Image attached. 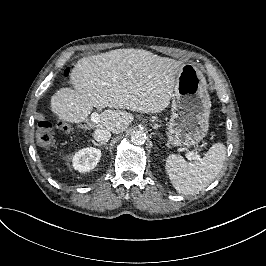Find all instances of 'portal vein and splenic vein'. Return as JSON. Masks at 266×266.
I'll list each match as a JSON object with an SVG mask.
<instances>
[{
	"mask_svg": "<svg viewBox=\"0 0 266 266\" xmlns=\"http://www.w3.org/2000/svg\"><path fill=\"white\" fill-rule=\"evenodd\" d=\"M91 120H92V122L93 123H97L98 122V120H99V116H98V112L97 111H93L92 113H91ZM188 159L189 160H192L193 159V154H188ZM194 158L196 159V161H200L201 160V155H194Z\"/></svg>",
	"mask_w": 266,
	"mask_h": 266,
	"instance_id": "18ae733b",
	"label": "portal vein and splenic vein"
}]
</instances>
